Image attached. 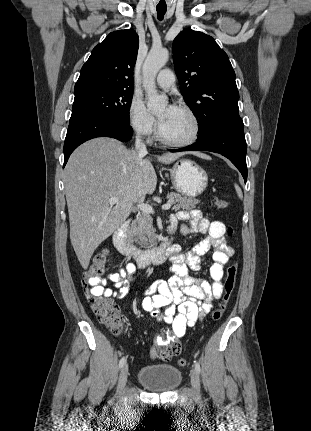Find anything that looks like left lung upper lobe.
<instances>
[{
    "mask_svg": "<svg viewBox=\"0 0 311 431\" xmlns=\"http://www.w3.org/2000/svg\"><path fill=\"white\" fill-rule=\"evenodd\" d=\"M173 60L180 91L199 123L198 136L226 118L239 117L235 72L211 36L183 30L174 39Z\"/></svg>",
    "mask_w": 311,
    "mask_h": 431,
    "instance_id": "5c2ea615",
    "label": "left lung upper lobe"
}]
</instances>
